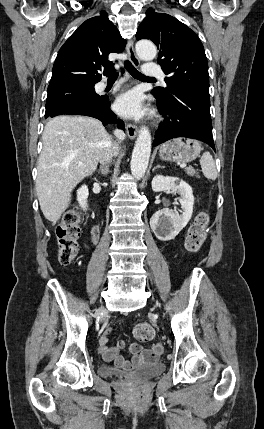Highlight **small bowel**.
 Instances as JSON below:
<instances>
[{
	"label": "small bowel",
	"instance_id": "small-bowel-1",
	"mask_svg": "<svg viewBox=\"0 0 264 429\" xmlns=\"http://www.w3.org/2000/svg\"><path fill=\"white\" fill-rule=\"evenodd\" d=\"M99 239V228L93 227L90 233V240L92 243H97ZM111 329H106L104 334L99 340V352L102 357L107 361H113L118 368L128 370L132 367H139L143 364L154 363L162 354L163 348L160 343H154L148 348H144L139 344L129 345V351L132 353V361L129 362L125 359L120 351L126 347L123 341H119L115 346H108V336Z\"/></svg>",
	"mask_w": 264,
	"mask_h": 429
}]
</instances>
